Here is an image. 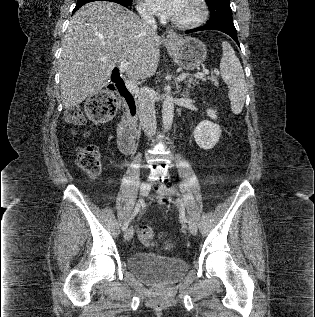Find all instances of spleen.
<instances>
[{
  "label": "spleen",
  "instance_id": "1",
  "mask_svg": "<svg viewBox=\"0 0 315 317\" xmlns=\"http://www.w3.org/2000/svg\"><path fill=\"white\" fill-rule=\"evenodd\" d=\"M222 50L220 74L229 88L232 112L240 114L247 94L244 72L235 51L227 41H222Z\"/></svg>",
  "mask_w": 315,
  "mask_h": 317
}]
</instances>
